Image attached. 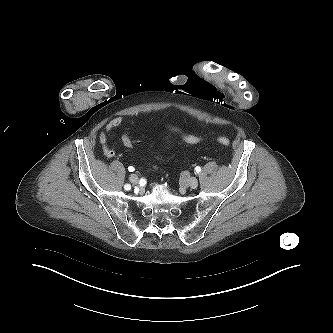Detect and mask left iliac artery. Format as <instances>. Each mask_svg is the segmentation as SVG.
<instances>
[{"instance_id": "44dca946", "label": "left iliac artery", "mask_w": 333, "mask_h": 333, "mask_svg": "<svg viewBox=\"0 0 333 333\" xmlns=\"http://www.w3.org/2000/svg\"><path fill=\"white\" fill-rule=\"evenodd\" d=\"M195 172H196V174H199V173L201 172V168H200L199 166H197V167L195 168Z\"/></svg>"}]
</instances>
